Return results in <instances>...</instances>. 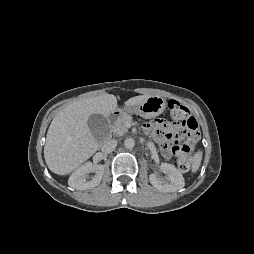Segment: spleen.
Segmentation results:
<instances>
[{
    "mask_svg": "<svg viewBox=\"0 0 254 254\" xmlns=\"http://www.w3.org/2000/svg\"><path fill=\"white\" fill-rule=\"evenodd\" d=\"M201 160H202V151L199 150L194 154V156L191 159L192 164L191 170L193 173H195L199 169Z\"/></svg>",
    "mask_w": 254,
    "mask_h": 254,
    "instance_id": "1",
    "label": "spleen"
}]
</instances>
